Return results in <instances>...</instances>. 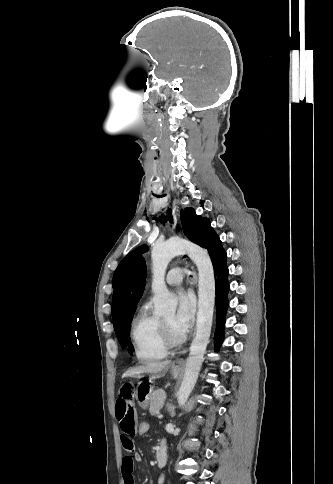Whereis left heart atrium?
<instances>
[{"label":"left heart atrium","mask_w":333,"mask_h":484,"mask_svg":"<svg viewBox=\"0 0 333 484\" xmlns=\"http://www.w3.org/2000/svg\"><path fill=\"white\" fill-rule=\"evenodd\" d=\"M177 303L173 326L178 333L184 334L188 331L194 319L195 300L190 293L180 291L177 294Z\"/></svg>","instance_id":"left-heart-atrium-1"}]
</instances>
